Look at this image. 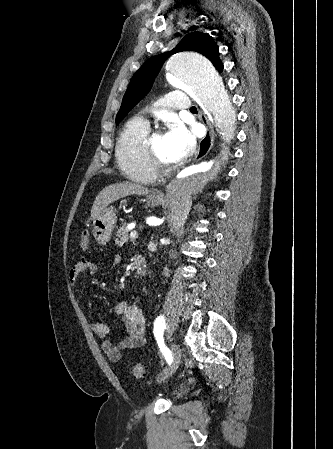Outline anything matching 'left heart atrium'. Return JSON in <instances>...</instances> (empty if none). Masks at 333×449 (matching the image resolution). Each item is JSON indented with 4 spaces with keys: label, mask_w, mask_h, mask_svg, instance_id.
Returning a JSON list of instances; mask_svg holds the SVG:
<instances>
[{
    "label": "left heart atrium",
    "mask_w": 333,
    "mask_h": 449,
    "mask_svg": "<svg viewBox=\"0 0 333 449\" xmlns=\"http://www.w3.org/2000/svg\"><path fill=\"white\" fill-rule=\"evenodd\" d=\"M167 145L174 162L187 158L195 146L193 134L181 123L175 122L165 134Z\"/></svg>",
    "instance_id": "39dd6f15"
}]
</instances>
